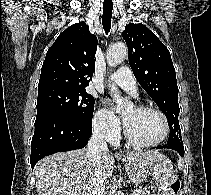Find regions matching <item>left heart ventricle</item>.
I'll use <instances>...</instances> for the list:
<instances>
[{
    "mask_svg": "<svg viewBox=\"0 0 211 195\" xmlns=\"http://www.w3.org/2000/svg\"><path fill=\"white\" fill-rule=\"evenodd\" d=\"M131 134L142 142H154L164 134V123L160 115L153 111H141L130 107L123 113Z\"/></svg>",
    "mask_w": 211,
    "mask_h": 195,
    "instance_id": "left-heart-ventricle-1",
    "label": "left heart ventricle"
}]
</instances>
